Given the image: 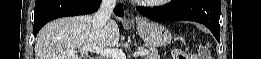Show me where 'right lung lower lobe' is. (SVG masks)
Returning a JSON list of instances; mask_svg holds the SVG:
<instances>
[{
  "label": "right lung lower lobe",
  "mask_w": 261,
  "mask_h": 59,
  "mask_svg": "<svg viewBox=\"0 0 261 59\" xmlns=\"http://www.w3.org/2000/svg\"><path fill=\"white\" fill-rule=\"evenodd\" d=\"M100 0H36L34 12V36L49 21L65 16L90 14L98 10ZM115 14L122 17L121 4L115 8Z\"/></svg>",
  "instance_id": "obj_1"
}]
</instances>
